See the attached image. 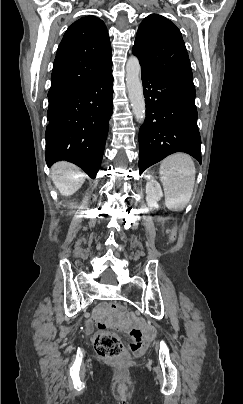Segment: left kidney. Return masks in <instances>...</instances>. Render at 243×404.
<instances>
[{"label": "left kidney", "mask_w": 243, "mask_h": 404, "mask_svg": "<svg viewBox=\"0 0 243 404\" xmlns=\"http://www.w3.org/2000/svg\"><path fill=\"white\" fill-rule=\"evenodd\" d=\"M161 198H163V192L160 184L156 180H150L146 184V202L147 208L150 210H158Z\"/></svg>", "instance_id": "obj_1"}]
</instances>
